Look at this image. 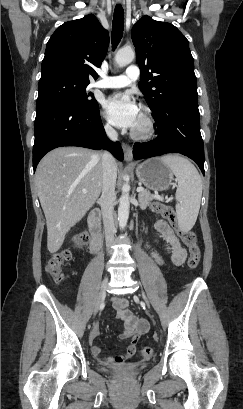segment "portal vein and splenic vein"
<instances>
[{"instance_id":"18ae733b","label":"portal vein and splenic vein","mask_w":243,"mask_h":409,"mask_svg":"<svg viewBox=\"0 0 243 409\" xmlns=\"http://www.w3.org/2000/svg\"><path fill=\"white\" fill-rule=\"evenodd\" d=\"M143 190H144V189H143L142 187H138V188H137V192H138V193L142 192ZM82 193L86 194V193H87V190H85V189L82 190Z\"/></svg>"}]
</instances>
